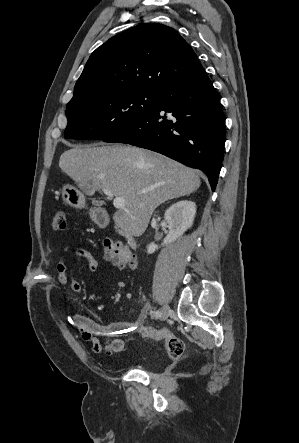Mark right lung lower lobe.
Returning a JSON list of instances; mask_svg holds the SVG:
<instances>
[{
  "instance_id": "1",
  "label": "right lung lower lobe",
  "mask_w": 299,
  "mask_h": 443,
  "mask_svg": "<svg viewBox=\"0 0 299 443\" xmlns=\"http://www.w3.org/2000/svg\"><path fill=\"white\" fill-rule=\"evenodd\" d=\"M104 142L146 148L206 173L215 190L223 160L225 117L204 71L157 92V102Z\"/></svg>"
}]
</instances>
